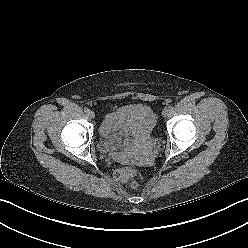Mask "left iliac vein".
<instances>
[{"label": "left iliac vein", "mask_w": 248, "mask_h": 248, "mask_svg": "<svg viewBox=\"0 0 248 248\" xmlns=\"http://www.w3.org/2000/svg\"><path fill=\"white\" fill-rule=\"evenodd\" d=\"M171 109L169 107H165L162 111V115L167 117L170 114Z\"/></svg>", "instance_id": "left-iliac-vein-1"}]
</instances>
